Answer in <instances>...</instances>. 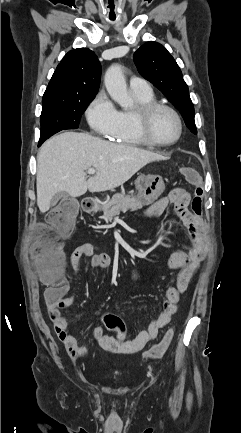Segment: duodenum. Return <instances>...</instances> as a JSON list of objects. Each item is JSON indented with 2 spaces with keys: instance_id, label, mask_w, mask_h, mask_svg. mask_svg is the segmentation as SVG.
Listing matches in <instances>:
<instances>
[{
  "instance_id": "410a0bca",
  "label": "duodenum",
  "mask_w": 241,
  "mask_h": 433,
  "mask_svg": "<svg viewBox=\"0 0 241 433\" xmlns=\"http://www.w3.org/2000/svg\"><path fill=\"white\" fill-rule=\"evenodd\" d=\"M82 208L86 213H92L97 208V202L90 197H85L82 199Z\"/></svg>"
}]
</instances>
